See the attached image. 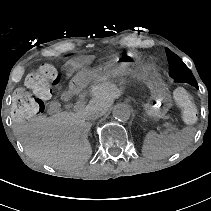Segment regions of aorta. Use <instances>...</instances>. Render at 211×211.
<instances>
[{
  "label": "aorta",
  "mask_w": 211,
  "mask_h": 211,
  "mask_svg": "<svg viewBox=\"0 0 211 211\" xmlns=\"http://www.w3.org/2000/svg\"><path fill=\"white\" fill-rule=\"evenodd\" d=\"M112 115L116 120L125 122L129 120L131 111L127 104L120 103L114 106Z\"/></svg>",
  "instance_id": "762f6f07"
}]
</instances>
